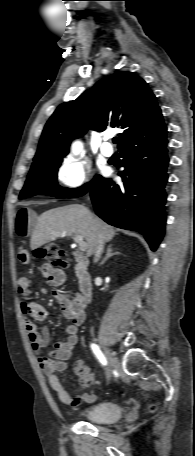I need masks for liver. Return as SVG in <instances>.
<instances>
[{"mask_svg":"<svg viewBox=\"0 0 195 456\" xmlns=\"http://www.w3.org/2000/svg\"><path fill=\"white\" fill-rule=\"evenodd\" d=\"M99 234L104 242L115 235V229L95 216L83 205L73 204L45 211L37 218L30 247L37 249L58 237L81 235L86 242V255L95 252Z\"/></svg>","mask_w":195,"mask_h":456,"instance_id":"6515ba94","label":"liver"}]
</instances>
